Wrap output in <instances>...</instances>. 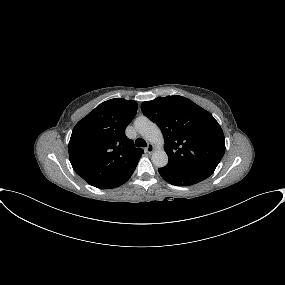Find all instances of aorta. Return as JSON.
Wrapping results in <instances>:
<instances>
[{
	"mask_svg": "<svg viewBox=\"0 0 285 285\" xmlns=\"http://www.w3.org/2000/svg\"><path fill=\"white\" fill-rule=\"evenodd\" d=\"M134 125L144 139L158 146L152 153V163L160 168L166 166L168 163V155L162 148L164 137L160 128L145 116L138 117Z\"/></svg>",
	"mask_w": 285,
	"mask_h": 285,
	"instance_id": "obj_1",
	"label": "aorta"
}]
</instances>
